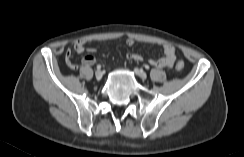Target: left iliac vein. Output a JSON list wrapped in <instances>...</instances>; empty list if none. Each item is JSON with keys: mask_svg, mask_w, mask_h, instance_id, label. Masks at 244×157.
<instances>
[{"mask_svg": "<svg viewBox=\"0 0 244 157\" xmlns=\"http://www.w3.org/2000/svg\"><path fill=\"white\" fill-rule=\"evenodd\" d=\"M134 71L141 79L147 78V74L142 69L135 68Z\"/></svg>", "mask_w": 244, "mask_h": 157, "instance_id": "obj_1", "label": "left iliac vein"}]
</instances>
